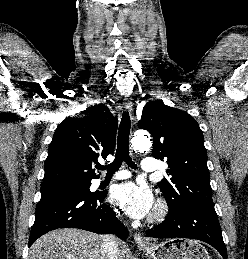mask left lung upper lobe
I'll return each mask as SVG.
<instances>
[{"mask_svg": "<svg viewBox=\"0 0 248 259\" xmlns=\"http://www.w3.org/2000/svg\"><path fill=\"white\" fill-rule=\"evenodd\" d=\"M138 126L154 138L152 156L169 165L170 180L158 183L169 209L214 206L204 138L195 119L163 102L150 101Z\"/></svg>", "mask_w": 248, "mask_h": 259, "instance_id": "obj_1", "label": "left lung upper lobe"}]
</instances>
